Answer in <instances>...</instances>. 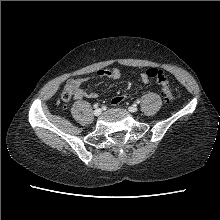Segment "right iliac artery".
<instances>
[{
  "mask_svg": "<svg viewBox=\"0 0 220 220\" xmlns=\"http://www.w3.org/2000/svg\"><path fill=\"white\" fill-rule=\"evenodd\" d=\"M94 108H98V104H95V105H94Z\"/></svg>",
  "mask_w": 220,
  "mask_h": 220,
  "instance_id": "obj_1",
  "label": "right iliac artery"
}]
</instances>
